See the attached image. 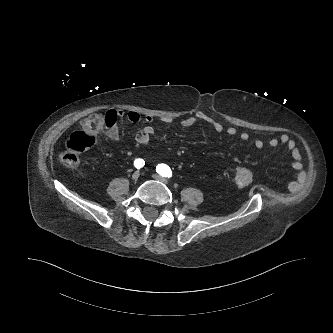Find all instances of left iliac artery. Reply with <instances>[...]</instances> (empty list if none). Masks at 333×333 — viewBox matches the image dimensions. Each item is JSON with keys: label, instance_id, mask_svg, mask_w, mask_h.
Listing matches in <instances>:
<instances>
[{"label": "left iliac artery", "instance_id": "44dca946", "mask_svg": "<svg viewBox=\"0 0 333 333\" xmlns=\"http://www.w3.org/2000/svg\"><path fill=\"white\" fill-rule=\"evenodd\" d=\"M156 172L159 173L162 177H172V171L170 167L166 164H158L156 166Z\"/></svg>", "mask_w": 333, "mask_h": 333}]
</instances>
